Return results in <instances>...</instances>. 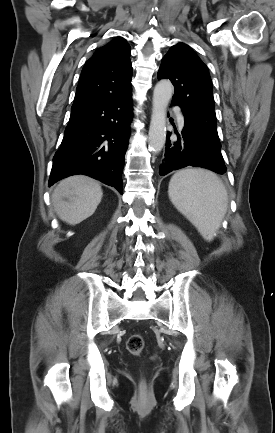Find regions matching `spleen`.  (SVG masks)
<instances>
[{
	"label": "spleen",
	"mask_w": 275,
	"mask_h": 433,
	"mask_svg": "<svg viewBox=\"0 0 275 433\" xmlns=\"http://www.w3.org/2000/svg\"><path fill=\"white\" fill-rule=\"evenodd\" d=\"M168 194L203 238L212 240L227 211V190L219 177L203 169H183L172 176Z\"/></svg>",
	"instance_id": "spleen-1"
}]
</instances>
